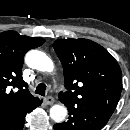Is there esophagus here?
<instances>
[{
  "mask_svg": "<svg viewBox=\"0 0 130 130\" xmlns=\"http://www.w3.org/2000/svg\"><path fill=\"white\" fill-rule=\"evenodd\" d=\"M44 102L47 105H52V104H54L55 99L52 96H47V97L44 98Z\"/></svg>",
  "mask_w": 130,
  "mask_h": 130,
  "instance_id": "esophagus-1",
  "label": "esophagus"
}]
</instances>
